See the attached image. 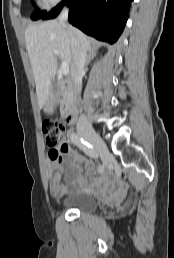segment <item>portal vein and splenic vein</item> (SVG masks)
I'll return each instance as SVG.
<instances>
[{"mask_svg": "<svg viewBox=\"0 0 174 258\" xmlns=\"http://www.w3.org/2000/svg\"><path fill=\"white\" fill-rule=\"evenodd\" d=\"M54 54L56 56L59 55L57 50H54ZM61 72H62L63 75H67L69 73V65L64 61L61 63Z\"/></svg>", "mask_w": 174, "mask_h": 258, "instance_id": "obj_1", "label": "portal vein and splenic vein"}]
</instances>
